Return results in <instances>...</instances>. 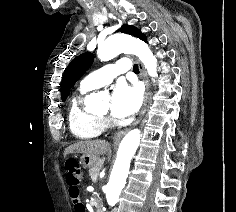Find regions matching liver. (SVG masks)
<instances>
[{
	"label": "liver",
	"instance_id": "1",
	"mask_svg": "<svg viewBox=\"0 0 236 212\" xmlns=\"http://www.w3.org/2000/svg\"><path fill=\"white\" fill-rule=\"evenodd\" d=\"M109 143L105 140H86L79 141L65 149L64 156L71 153H82L93 156H100L107 153Z\"/></svg>",
	"mask_w": 236,
	"mask_h": 212
}]
</instances>
